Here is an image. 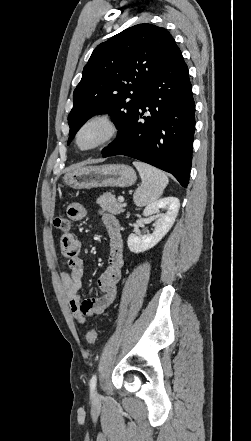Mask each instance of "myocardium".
Returning <instances> with one entry per match:
<instances>
[{
    "label": "myocardium",
    "mask_w": 251,
    "mask_h": 441,
    "mask_svg": "<svg viewBox=\"0 0 251 441\" xmlns=\"http://www.w3.org/2000/svg\"><path fill=\"white\" fill-rule=\"evenodd\" d=\"M91 125H101L104 128V133L101 138L89 147H82L80 145V136L82 132ZM120 132V127L115 117L108 112H97L89 115L78 127L74 141L76 147L83 152H90L99 149L108 143L112 142Z\"/></svg>",
    "instance_id": "f54148a6"
}]
</instances>
